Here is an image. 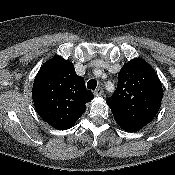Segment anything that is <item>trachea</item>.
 Here are the masks:
<instances>
[{
  "instance_id": "obj_1",
  "label": "trachea",
  "mask_w": 175,
  "mask_h": 175,
  "mask_svg": "<svg viewBox=\"0 0 175 175\" xmlns=\"http://www.w3.org/2000/svg\"><path fill=\"white\" fill-rule=\"evenodd\" d=\"M97 87V81L95 79H91L87 82V88L91 90H95Z\"/></svg>"
}]
</instances>
